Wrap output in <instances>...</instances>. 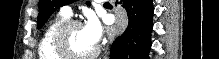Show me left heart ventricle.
<instances>
[{
	"label": "left heart ventricle",
	"instance_id": "obj_1",
	"mask_svg": "<svg viewBox=\"0 0 219 59\" xmlns=\"http://www.w3.org/2000/svg\"><path fill=\"white\" fill-rule=\"evenodd\" d=\"M68 46L75 54H87L96 47L85 35L82 26H74L70 29Z\"/></svg>",
	"mask_w": 219,
	"mask_h": 59
}]
</instances>
